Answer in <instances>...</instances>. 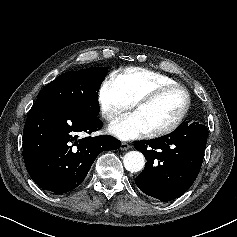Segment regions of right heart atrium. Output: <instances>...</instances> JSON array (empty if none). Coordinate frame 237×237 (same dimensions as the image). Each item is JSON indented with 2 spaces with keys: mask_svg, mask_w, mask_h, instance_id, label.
I'll use <instances>...</instances> for the list:
<instances>
[{
  "mask_svg": "<svg viewBox=\"0 0 237 237\" xmlns=\"http://www.w3.org/2000/svg\"><path fill=\"white\" fill-rule=\"evenodd\" d=\"M97 99L101 117L107 122L114 121L131 107V103L127 101L113 77L105 78L101 82Z\"/></svg>",
  "mask_w": 237,
  "mask_h": 237,
  "instance_id": "1",
  "label": "right heart atrium"
}]
</instances>
